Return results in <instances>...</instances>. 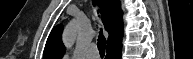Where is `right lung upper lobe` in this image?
Listing matches in <instances>:
<instances>
[{"label": "right lung upper lobe", "mask_w": 193, "mask_h": 59, "mask_svg": "<svg viewBox=\"0 0 193 59\" xmlns=\"http://www.w3.org/2000/svg\"><path fill=\"white\" fill-rule=\"evenodd\" d=\"M102 10V21L105 30L109 33L107 46L123 37L122 11L119 0H93ZM62 25H58L51 31L44 49V59H61L65 48L62 43Z\"/></svg>", "instance_id": "obj_1"}]
</instances>
